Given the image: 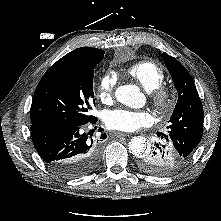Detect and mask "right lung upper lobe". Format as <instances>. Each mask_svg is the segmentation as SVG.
Returning a JSON list of instances; mask_svg holds the SVG:
<instances>
[{
    "label": "right lung upper lobe",
    "mask_w": 221,
    "mask_h": 221,
    "mask_svg": "<svg viewBox=\"0 0 221 221\" xmlns=\"http://www.w3.org/2000/svg\"><path fill=\"white\" fill-rule=\"evenodd\" d=\"M104 53L105 52L101 49H96V48H91V47L77 48L73 50L72 52L66 54L61 59H59L53 66L74 63L81 59L92 57V56H103Z\"/></svg>",
    "instance_id": "obj_1"
}]
</instances>
